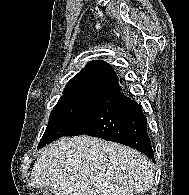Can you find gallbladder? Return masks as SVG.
<instances>
[{
    "label": "gallbladder",
    "mask_w": 189,
    "mask_h": 195,
    "mask_svg": "<svg viewBox=\"0 0 189 195\" xmlns=\"http://www.w3.org/2000/svg\"><path fill=\"white\" fill-rule=\"evenodd\" d=\"M41 192L43 193V195H53V191L49 187L41 188Z\"/></svg>",
    "instance_id": "1"
}]
</instances>
